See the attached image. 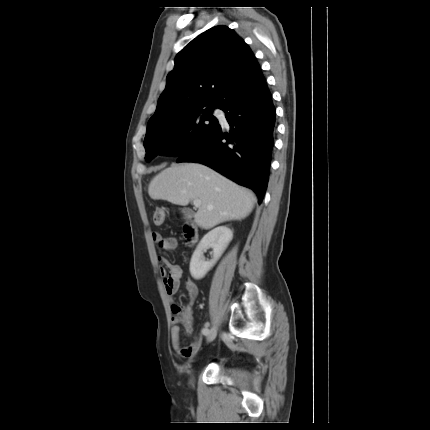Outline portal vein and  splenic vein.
<instances>
[{"mask_svg": "<svg viewBox=\"0 0 430 430\" xmlns=\"http://www.w3.org/2000/svg\"><path fill=\"white\" fill-rule=\"evenodd\" d=\"M193 203H194V206H195L196 208H198V207H200V205H201V200H200V199H194V200H193Z\"/></svg>", "mask_w": 430, "mask_h": 430, "instance_id": "18ae733b", "label": "portal vein and splenic vein"}]
</instances>
